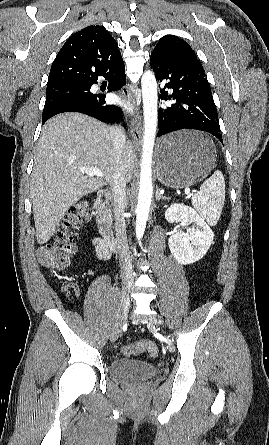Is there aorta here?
I'll use <instances>...</instances> for the list:
<instances>
[{"instance_id":"aorta-1","label":"aorta","mask_w":269,"mask_h":445,"mask_svg":"<svg viewBox=\"0 0 269 445\" xmlns=\"http://www.w3.org/2000/svg\"><path fill=\"white\" fill-rule=\"evenodd\" d=\"M144 135L142 144L141 172L139 182V195L136 208V236L140 240L144 234L146 221L152 200V155L157 130V82L151 71H145L141 78Z\"/></svg>"}]
</instances>
